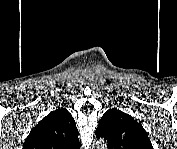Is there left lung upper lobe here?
<instances>
[{
  "instance_id": "left-lung-upper-lobe-1",
  "label": "left lung upper lobe",
  "mask_w": 177,
  "mask_h": 149,
  "mask_svg": "<svg viewBox=\"0 0 177 149\" xmlns=\"http://www.w3.org/2000/svg\"><path fill=\"white\" fill-rule=\"evenodd\" d=\"M95 135L108 142L109 149H152L147 132L130 115L109 109L99 121Z\"/></svg>"
}]
</instances>
